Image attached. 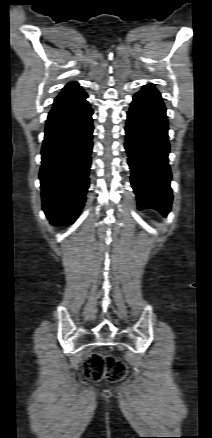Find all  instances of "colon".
<instances>
[{"mask_svg":"<svg viewBox=\"0 0 212 438\" xmlns=\"http://www.w3.org/2000/svg\"><path fill=\"white\" fill-rule=\"evenodd\" d=\"M84 374L92 381L107 379L110 382H119L125 378L127 366L121 359L93 353L84 361Z\"/></svg>","mask_w":212,"mask_h":438,"instance_id":"obj_1","label":"colon"}]
</instances>
